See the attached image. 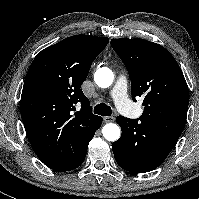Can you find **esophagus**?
Instances as JSON below:
<instances>
[{
	"label": "esophagus",
	"mask_w": 199,
	"mask_h": 199,
	"mask_svg": "<svg viewBox=\"0 0 199 199\" xmlns=\"http://www.w3.org/2000/svg\"><path fill=\"white\" fill-rule=\"evenodd\" d=\"M103 121L105 123L113 122L114 121V117H112V116H106V117L103 118Z\"/></svg>",
	"instance_id": "34e87169"
}]
</instances>
